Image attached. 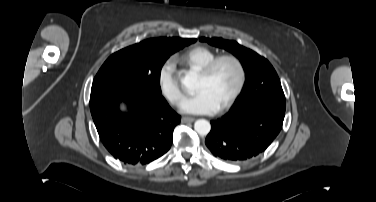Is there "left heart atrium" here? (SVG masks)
<instances>
[{"mask_svg": "<svg viewBox=\"0 0 376 202\" xmlns=\"http://www.w3.org/2000/svg\"><path fill=\"white\" fill-rule=\"evenodd\" d=\"M218 109V104L207 89L197 90L181 102V110L190 114H211Z\"/></svg>", "mask_w": 376, "mask_h": 202, "instance_id": "obj_1", "label": "left heart atrium"}]
</instances>
